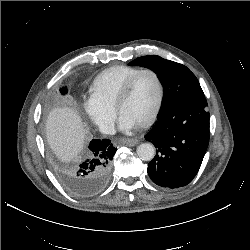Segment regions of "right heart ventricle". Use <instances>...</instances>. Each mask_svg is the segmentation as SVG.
<instances>
[{
    "label": "right heart ventricle",
    "instance_id": "obj_1",
    "mask_svg": "<svg viewBox=\"0 0 250 250\" xmlns=\"http://www.w3.org/2000/svg\"><path fill=\"white\" fill-rule=\"evenodd\" d=\"M139 70L138 67L126 65L104 70L93 80L89 89L90 97L104 107L114 109L123 85Z\"/></svg>",
    "mask_w": 250,
    "mask_h": 250
}]
</instances>
